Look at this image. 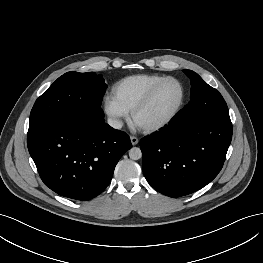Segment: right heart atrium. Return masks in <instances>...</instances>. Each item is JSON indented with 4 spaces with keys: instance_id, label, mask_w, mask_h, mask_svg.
Returning a JSON list of instances; mask_svg holds the SVG:
<instances>
[{
    "instance_id": "1",
    "label": "right heart atrium",
    "mask_w": 263,
    "mask_h": 263,
    "mask_svg": "<svg viewBox=\"0 0 263 263\" xmlns=\"http://www.w3.org/2000/svg\"><path fill=\"white\" fill-rule=\"evenodd\" d=\"M103 109L105 114L111 120L112 124L119 125L123 118L126 117V112L123 111L112 99L111 95L106 96L103 101Z\"/></svg>"
}]
</instances>
